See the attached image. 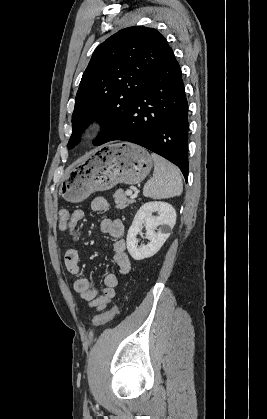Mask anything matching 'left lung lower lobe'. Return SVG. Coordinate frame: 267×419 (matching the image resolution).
Listing matches in <instances>:
<instances>
[{
	"instance_id": "obj_1",
	"label": "left lung lower lobe",
	"mask_w": 267,
	"mask_h": 419,
	"mask_svg": "<svg viewBox=\"0 0 267 419\" xmlns=\"http://www.w3.org/2000/svg\"><path fill=\"white\" fill-rule=\"evenodd\" d=\"M188 102L180 65L169 48L124 118L104 126L94 145L113 140L141 145L177 165L188 178Z\"/></svg>"
}]
</instances>
